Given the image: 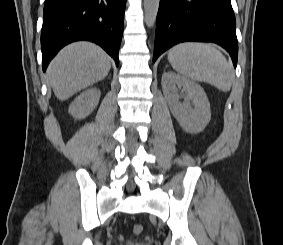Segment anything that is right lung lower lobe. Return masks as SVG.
<instances>
[{"label": "right lung lower lobe", "instance_id": "98d812e1", "mask_svg": "<svg viewBox=\"0 0 283 245\" xmlns=\"http://www.w3.org/2000/svg\"><path fill=\"white\" fill-rule=\"evenodd\" d=\"M126 0H45L41 32L43 71L66 44L88 40L119 64Z\"/></svg>", "mask_w": 283, "mask_h": 245}]
</instances>
